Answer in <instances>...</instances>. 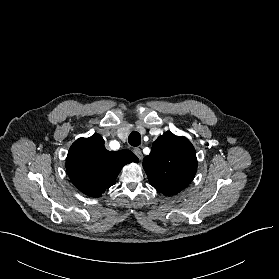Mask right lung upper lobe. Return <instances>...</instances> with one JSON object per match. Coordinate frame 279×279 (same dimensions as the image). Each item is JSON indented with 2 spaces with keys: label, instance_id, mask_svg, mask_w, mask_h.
I'll return each instance as SVG.
<instances>
[{
  "label": "right lung upper lobe",
  "instance_id": "1",
  "mask_svg": "<svg viewBox=\"0 0 279 279\" xmlns=\"http://www.w3.org/2000/svg\"><path fill=\"white\" fill-rule=\"evenodd\" d=\"M138 162L129 150L108 151L103 138L94 134L79 138L69 149L66 159L67 173L72 183L84 194L100 197L115 184L125 164Z\"/></svg>",
  "mask_w": 279,
  "mask_h": 279
}]
</instances>
